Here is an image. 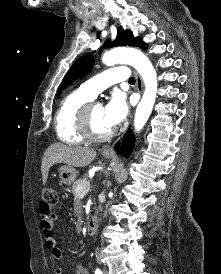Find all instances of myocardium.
<instances>
[{
    "label": "myocardium",
    "mask_w": 221,
    "mask_h": 274,
    "mask_svg": "<svg viewBox=\"0 0 221 274\" xmlns=\"http://www.w3.org/2000/svg\"><path fill=\"white\" fill-rule=\"evenodd\" d=\"M96 104L98 103L91 101L82 107L78 117V126L85 139L100 142L108 140L112 136V131L109 130L106 133H99L94 129L91 120V111Z\"/></svg>",
    "instance_id": "f54148a6"
}]
</instances>
